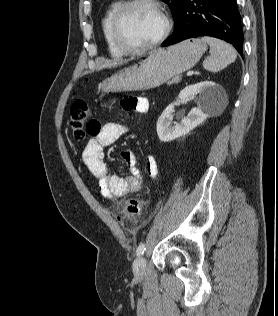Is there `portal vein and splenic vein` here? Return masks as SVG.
Here are the masks:
<instances>
[{
  "mask_svg": "<svg viewBox=\"0 0 278 316\" xmlns=\"http://www.w3.org/2000/svg\"><path fill=\"white\" fill-rule=\"evenodd\" d=\"M193 73H194V71H193V70H189V71L187 72V76H192V75H193Z\"/></svg>",
  "mask_w": 278,
  "mask_h": 316,
  "instance_id": "1",
  "label": "portal vein and splenic vein"
}]
</instances>
